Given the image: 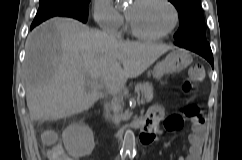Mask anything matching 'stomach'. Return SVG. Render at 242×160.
Wrapping results in <instances>:
<instances>
[{
	"label": "stomach",
	"instance_id": "1",
	"mask_svg": "<svg viewBox=\"0 0 242 160\" xmlns=\"http://www.w3.org/2000/svg\"><path fill=\"white\" fill-rule=\"evenodd\" d=\"M192 62L190 53L184 49H175L164 60L157 63L152 74L155 79H161L163 75L180 72Z\"/></svg>",
	"mask_w": 242,
	"mask_h": 160
}]
</instances>
